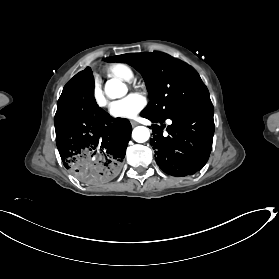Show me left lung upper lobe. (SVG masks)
<instances>
[{
    "label": "left lung upper lobe",
    "mask_w": 279,
    "mask_h": 279,
    "mask_svg": "<svg viewBox=\"0 0 279 279\" xmlns=\"http://www.w3.org/2000/svg\"><path fill=\"white\" fill-rule=\"evenodd\" d=\"M103 60L127 63L141 73L150 97L143 113L165 119L210 101L209 92L198 73L165 53H129Z\"/></svg>",
    "instance_id": "left-lung-upper-lobe-1"
}]
</instances>
